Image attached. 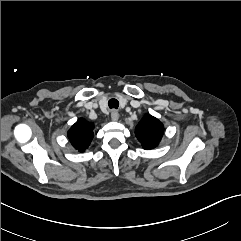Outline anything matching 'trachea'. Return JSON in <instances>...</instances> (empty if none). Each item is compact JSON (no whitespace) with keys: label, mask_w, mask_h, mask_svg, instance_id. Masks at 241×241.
<instances>
[{"label":"trachea","mask_w":241,"mask_h":241,"mask_svg":"<svg viewBox=\"0 0 241 241\" xmlns=\"http://www.w3.org/2000/svg\"><path fill=\"white\" fill-rule=\"evenodd\" d=\"M109 108L117 109L119 107L118 99L115 96H112L108 101Z\"/></svg>","instance_id":"obj_1"}]
</instances>
